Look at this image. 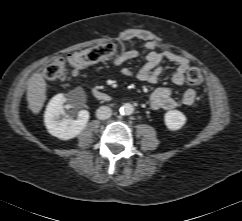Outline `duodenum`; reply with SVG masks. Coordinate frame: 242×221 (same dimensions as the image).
I'll return each mask as SVG.
<instances>
[{"label": "duodenum", "instance_id": "1", "mask_svg": "<svg viewBox=\"0 0 242 221\" xmlns=\"http://www.w3.org/2000/svg\"><path fill=\"white\" fill-rule=\"evenodd\" d=\"M92 93H93L94 97L99 100L109 101L111 99V97L106 92H104L96 87L92 88Z\"/></svg>", "mask_w": 242, "mask_h": 221}]
</instances>
